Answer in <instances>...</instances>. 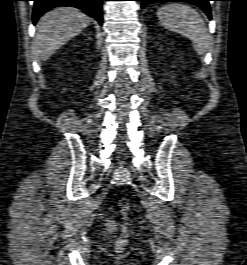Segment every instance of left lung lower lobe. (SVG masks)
Listing matches in <instances>:
<instances>
[{"label":"left lung lower lobe","mask_w":247,"mask_h":265,"mask_svg":"<svg viewBox=\"0 0 247 265\" xmlns=\"http://www.w3.org/2000/svg\"><path fill=\"white\" fill-rule=\"evenodd\" d=\"M142 1L141 8L144 9L147 5L151 3H162V2H188L200 7L207 16L211 19V10L209 6V1L212 0H138Z\"/></svg>","instance_id":"0a47b994"}]
</instances>
